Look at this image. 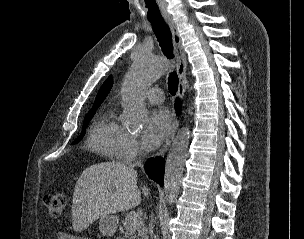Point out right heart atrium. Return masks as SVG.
Masks as SVG:
<instances>
[{
  "instance_id": "1",
  "label": "right heart atrium",
  "mask_w": 304,
  "mask_h": 239,
  "mask_svg": "<svg viewBox=\"0 0 304 239\" xmlns=\"http://www.w3.org/2000/svg\"><path fill=\"white\" fill-rule=\"evenodd\" d=\"M142 151L137 137L125 130L120 134L117 143V154L124 160H131Z\"/></svg>"
}]
</instances>
